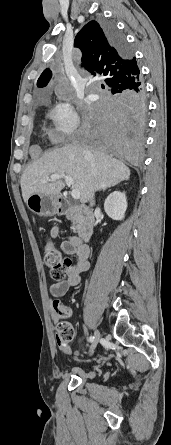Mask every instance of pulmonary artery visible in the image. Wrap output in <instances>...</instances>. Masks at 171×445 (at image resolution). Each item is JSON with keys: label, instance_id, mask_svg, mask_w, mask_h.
<instances>
[{"label": "pulmonary artery", "instance_id": "e3ab8cb5", "mask_svg": "<svg viewBox=\"0 0 171 445\" xmlns=\"http://www.w3.org/2000/svg\"><path fill=\"white\" fill-rule=\"evenodd\" d=\"M94 97H95V96H94V95H92V96H90V99H94Z\"/></svg>", "mask_w": 171, "mask_h": 445}]
</instances>
